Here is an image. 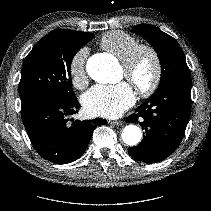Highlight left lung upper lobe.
<instances>
[{
    "label": "left lung upper lobe",
    "instance_id": "left-lung-upper-lobe-1",
    "mask_svg": "<svg viewBox=\"0 0 211 211\" xmlns=\"http://www.w3.org/2000/svg\"><path fill=\"white\" fill-rule=\"evenodd\" d=\"M132 31L146 39L158 54L162 71L160 84L155 92L170 81L191 77L184 53L173 37L149 24L137 25L133 27Z\"/></svg>",
    "mask_w": 211,
    "mask_h": 211
}]
</instances>
